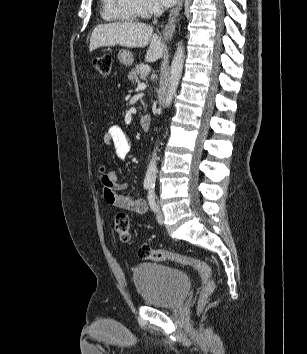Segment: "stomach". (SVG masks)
Here are the masks:
<instances>
[{"instance_id": "1", "label": "stomach", "mask_w": 307, "mask_h": 354, "mask_svg": "<svg viewBox=\"0 0 307 354\" xmlns=\"http://www.w3.org/2000/svg\"><path fill=\"white\" fill-rule=\"evenodd\" d=\"M117 58L119 62L125 66H131L134 61L133 54L128 50L119 51Z\"/></svg>"}]
</instances>
